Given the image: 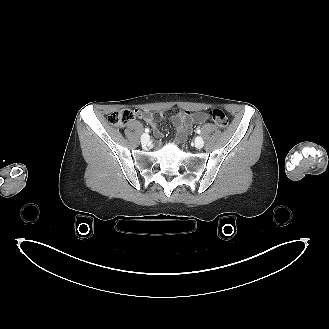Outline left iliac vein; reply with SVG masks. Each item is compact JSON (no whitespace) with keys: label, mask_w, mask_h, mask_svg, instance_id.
I'll use <instances>...</instances> for the list:
<instances>
[{"label":"left iliac vein","mask_w":329,"mask_h":329,"mask_svg":"<svg viewBox=\"0 0 329 329\" xmlns=\"http://www.w3.org/2000/svg\"><path fill=\"white\" fill-rule=\"evenodd\" d=\"M195 147L198 148V149H201L203 146H204V141L202 139V137H196L195 141Z\"/></svg>","instance_id":"4c4485c4"}]
</instances>
